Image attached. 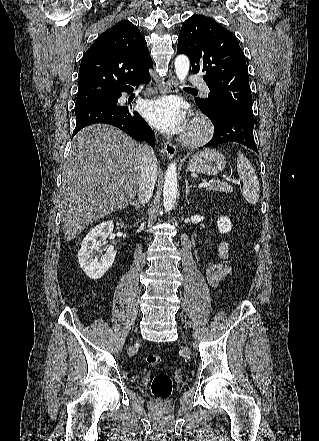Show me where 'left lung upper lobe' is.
<instances>
[{
    "label": "left lung upper lobe",
    "instance_id": "left-lung-upper-lobe-1",
    "mask_svg": "<svg viewBox=\"0 0 319 441\" xmlns=\"http://www.w3.org/2000/svg\"><path fill=\"white\" fill-rule=\"evenodd\" d=\"M178 54H186L193 73L204 72L208 98H196L199 107L215 113L231 109L254 118L244 54L233 33L203 15H193L182 25Z\"/></svg>",
    "mask_w": 319,
    "mask_h": 441
}]
</instances>
